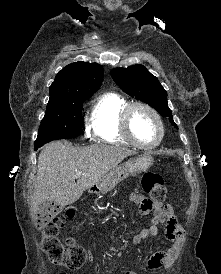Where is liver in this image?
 <instances>
[{
  "instance_id": "6515ba94",
  "label": "liver",
  "mask_w": 221,
  "mask_h": 274,
  "mask_svg": "<svg viewBox=\"0 0 221 274\" xmlns=\"http://www.w3.org/2000/svg\"><path fill=\"white\" fill-rule=\"evenodd\" d=\"M132 154L134 151L128 148L104 144L73 147L71 143L55 141L46 145L38 158L32 212L35 214L44 202L63 206L76 202L85 190ZM76 172L82 175L75 178Z\"/></svg>"
}]
</instances>
